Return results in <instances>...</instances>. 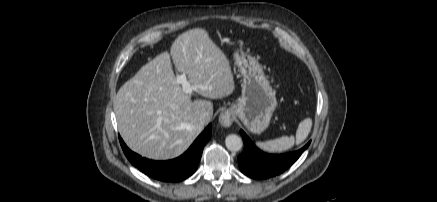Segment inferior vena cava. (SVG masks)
I'll use <instances>...</instances> for the list:
<instances>
[{
    "label": "inferior vena cava",
    "mask_w": 437,
    "mask_h": 202,
    "mask_svg": "<svg viewBox=\"0 0 437 202\" xmlns=\"http://www.w3.org/2000/svg\"><path fill=\"white\" fill-rule=\"evenodd\" d=\"M210 121V117L207 113H202L199 117L200 124L204 125Z\"/></svg>",
    "instance_id": "obj_1"
}]
</instances>
